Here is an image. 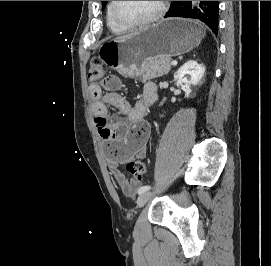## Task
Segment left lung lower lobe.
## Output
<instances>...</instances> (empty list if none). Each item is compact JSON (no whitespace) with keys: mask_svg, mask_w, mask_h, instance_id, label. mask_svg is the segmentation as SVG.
Segmentation results:
<instances>
[{"mask_svg":"<svg viewBox=\"0 0 271 266\" xmlns=\"http://www.w3.org/2000/svg\"><path fill=\"white\" fill-rule=\"evenodd\" d=\"M218 1H200L198 8L192 9L191 1H174L165 17H185L198 19L215 34L218 33Z\"/></svg>","mask_w":271,"mask_h":266,"instance_id":"0a47b994","label":"left lung lower lobe"}]
</instances>
